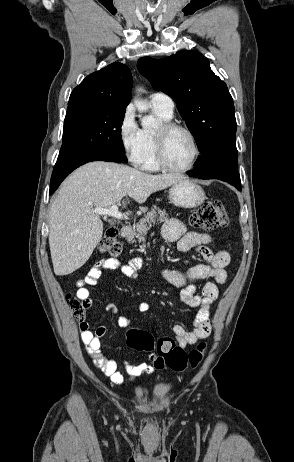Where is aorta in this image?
Listing matches in <instances>:
<instances>
[{
	"label": "aorta",
	"mask_w": 294,
	"mask_h": 462,
	"mask_svg": "<svg viewBox=\"0 0 294 462\" xmlns=\"http://www.w3.org/2000/svg\"><path fill=\"white\" fill-rule=\"evenodd\" d=\"M135 106L140 112H145L148 109V106L144 102H136ZM141 124L144 128H155L158 122L154 117L147 116L141 119Z\"/></svg>",
	"instance_id": "obj_1"
}]
</instances>
